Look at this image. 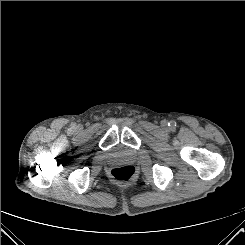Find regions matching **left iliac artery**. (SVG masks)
Returning a JSON list of instances; mask_svg holds the SVG:
<instances>
[{"mask_svg":"<svg viewBox=\"0 0 245 245\" xmlns=\"http://www.w3.org/2000/svg\"><path fill=\"white\" fill-rule=\"evenodd\" d=\"M169 126H170L171 128H174V127L176 126V123H175L174 121H171V122L169 123Z\"/></svg>","mask_w":245,"mask_h":245,"instance_id":"obj_1","label":"left iliac artery"}]
</instances>
